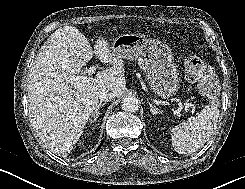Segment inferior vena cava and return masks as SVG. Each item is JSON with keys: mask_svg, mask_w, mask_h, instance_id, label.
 <instances>
[{"mask_svg": "<svg viewBox=\"0 0 245 189\" xmlns=\"http://www.w3.org/2000/svg\"><path fill=\"white\" fill-rule=\"evenodd\" d=\"M115 98V93L109 89H104L99 93V99L104 102H109Z\"/></svg>", "mask_w": 245, "mask_h": 189, "instance_id": "602c4592", "label": "inferior vena cava"}]
</instances>
